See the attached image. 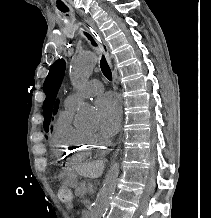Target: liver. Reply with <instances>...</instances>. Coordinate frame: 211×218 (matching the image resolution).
Masks as SVG:
<instances>
[{
	"mask_svg": "<svg viewBox=\"0 0 211 218\" xmlns=\"http://www.w3.org/2000/svg\"><path fill=\"white\" fill-rule=\"evenodd\" d=\"M103 168V162H89V164L81 166L79 172L82 176H85V178H100Z\"/></svg>",
	"mask_w": 211,
	"mask_h": 218,
	"instance_id": "liver-1",
	"label": "liver"
}]
</instances>
